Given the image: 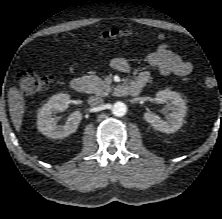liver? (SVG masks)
Listing matches in <instances>:
<instances>
[{"label":"liver","instance_id":"1","mask_svg":"<svg viewBox=\"0 0 222 219\" xmlns=\"http://www.w3.org/2000/svg\"><path fill=\"white\" fill-rule=\"evenodd\" d=\"M9 112L16 131H20L23 114L25 110V101L21 92L16 87H11L8 92Z\"/></svg>","mask_w":222,"mask_h":219}]
</instances>
